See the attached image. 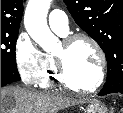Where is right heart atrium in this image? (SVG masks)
<instances>
[{
	"label": "right heart atrium",
	"instance_id": "1",
	"mask_svg": "<svg viewBox=\"0 0 123 113\" xmlns=\"http://www.w3.org/2000/svg\"><path fill=\"white\" fill-rule=\"evenodd\" d=\"M14 62L20 80L26 86L40 83L44 54L26 32H20L14 43Z\"/></svg>",
	"mask_w": 123,
	"mask_h": 113
}]
</instances>
